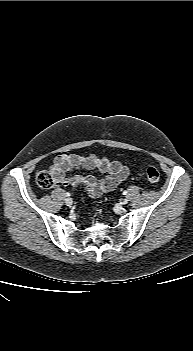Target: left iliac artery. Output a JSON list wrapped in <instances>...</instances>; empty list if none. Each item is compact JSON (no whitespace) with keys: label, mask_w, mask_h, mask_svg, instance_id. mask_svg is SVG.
Listing matches in <instances>:
<instances>
[{"label":"left iliac artery","mask_w":193,"mask_h":351,"mask_svg":"<svg viewBox=\"0 0 193 351\" xmlns=\"http://www.w3.org/2000/svg\"><path fill=\"white\" fill-rule=\"evenodd\" d=\"M123 195H127V192H126V191H123Z\"/></svg>","instance_id":"44dca946"}]
</instances>
